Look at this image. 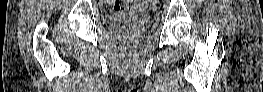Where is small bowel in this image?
I'll use <instances>...</instances> for the list:
<instances>
[{
  "label": "small bowel",
  "instance_id": "1",
  "mask_svg": "<svg viewBox=\"0 0 263 92\" xmlns=\"http://www.w3.org/2000/svg\"><path fill=\"white\" fill-rule=\"evenodd\" d=\"M130 4H131V3H125V6H126V5L128 6V5H130Z\"/></svg>",
  "mask_w": 263,
  "mask_h": 92
}]
</instances>
